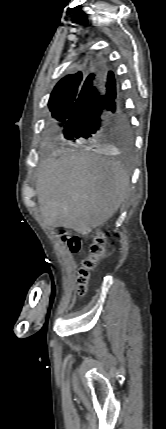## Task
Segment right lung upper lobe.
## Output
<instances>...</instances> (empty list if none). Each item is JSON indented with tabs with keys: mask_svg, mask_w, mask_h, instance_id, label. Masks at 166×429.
I'll return each mask as SVG.
<instances>
[{
	"mask_svg": "<svg viewBox=\"0 0 166 429\" xmlns=\"http://www.w3.org/2000/svg\"><path fill=\"white\" fill-rule=\"evenodd\" d=\"M76 75H82V72H78V73H76V74L67 75L66 77H64V78H63V79H61L60 81L65 80V79L70 78V77H73V76H76ZM60 81H59V82H60Z\"/></svg>",
	"mask_w": 166,
	"mask_h": 429,
	"instance_id": "cb5924a9",
	"label": "right lung upper lobe"
}]
</instances>
